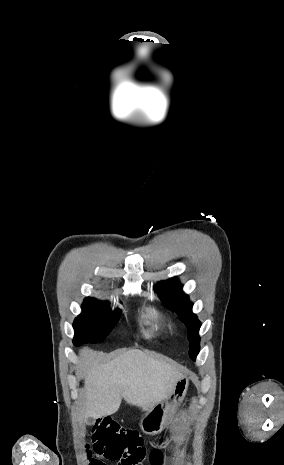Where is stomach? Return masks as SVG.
I'll return each mask as SVG.
<instances>
[{
  "label": "stomach",
  "instance_id": "obj_1",
  "mask_svg": "<svg viewBox=\"0 0 284 465\" xmlns=\"http://www.w3.org/2000/svg\"><path fill=\"white\" fill-rule=\"evenodd\" d=\"M188 385V377H182V379L177 381L174 391H172L167 399H164L161 403H157L155 407H152V409H149L145 413L139 423L143 433H146V435H157V433H161L167 427L168 421H170L174 411H177L178 407H180L187 393Z\"/></svg>",
  "mask_w": 284,
  "mask_h": 465
}]
</instances>
